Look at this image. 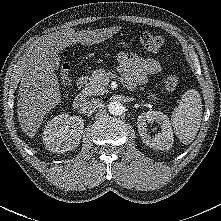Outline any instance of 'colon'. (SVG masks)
<instances>
[{
	"label": "colon",
	"instance_id": "5ec220e1",
	"mask_svg": "<svg viewBox=\"0 0 221 221\" xmlns=\"http://www.w3.org/2000/svg\"><path fill=\"white\" fill-rule=\"evenodd\" d=\"M138 43L142 49L147 53H158L164 47V40L161 36L153 33H143L138 37ZM66 53L63 54L60 60V81L62 86L66 89L69 85L68 77V63L66 61ZM166 90L173 92L180 84V78L175 73H168L163 78Z\"/></svg>",
	"mask_w": 221,
	"mask_h": 221
}]
</instances>
